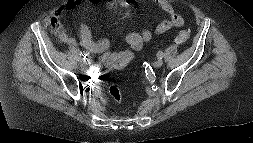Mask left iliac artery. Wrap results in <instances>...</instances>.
Wrapping results in <instances>:
<instances>
[{
	"instance_id": "left-iliac-artery-1",
	"label": "left iliac artery",
	"mask_w": 253,
	"mask_h": 143,
	"mask_svg": "<svg viewBox=\"0 0 253 143\" xmlns=\"http://www.w3.org/2000/svg\"><path fill=\"white\" fill-rule=\"evenodd\" d=\"M163 56H164V53H163V52H160V51H159V52L157 53V57H158V58L161 59V58H163Z\"/></svg>"
}]
</instances>
